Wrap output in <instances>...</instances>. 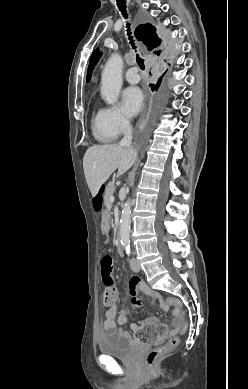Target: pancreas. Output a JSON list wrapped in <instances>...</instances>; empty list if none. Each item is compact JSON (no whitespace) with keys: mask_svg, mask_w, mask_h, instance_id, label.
Segmentation results:
<instances>
[{"mask_svg":"<svg viewBox=\"0 0 248 389\" xmlns=\"http://www.w3.org/2000/svg\"><path fill=\"white\" fill-rule=\"evenodd\" d=\"M114 191H115V185H114L113 182H110L107 185V188H106V191H105V196H104V204H105L107 210H109L110 207H111L110 198L113 195Z\"/></svg>","mask_w":248,"mask_h":389,"instance_id":"pancreas-1","label":"pancreas"}]
</instances>
